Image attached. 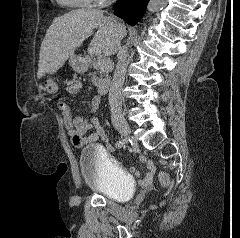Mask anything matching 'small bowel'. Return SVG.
Segmentation results:
<instances>
[{
	"label": "small bowel",
	"mask_w": 240,
	"mask_h": 238,
	"mask_svg": "<svg viewBox=\"0 0 240 238\" xmlns=\"http://www.w3.org/2000/svg\"><path fill=\"white\" fill-rule=\"evenodd\" d=\"M83 89L82 83L72 80L69 82L66 90L70 94H77ZM101 102V97L96 96L92 99L90 111L95 112ZM57 107L61 113L63 123L66 126L67 133L70 137L73 138L74 144L77 147L82 146L83 144L93 143L99 140L100 143H103L104 146H107V151H112L113 154H118L119 150L115 149L114 146H109L110 142L105 136V131L97 117H73L70 106L67 102L58 100ZM92 130L91 133L86 134L87 131ZM78 138V141L76 140ZM117 161L120 162L121 166H127V161H122L121 157L117 158ZM142 161H146L145 157H142ZM148 172L146 175H141L142 171L138 170L137 167H130V172H134L135 175H140L137 179V184H140V187H151L154 173L155 165L152 161H147Z\"/></svg>",
	"instance_id": "1"
}]
</instances>
